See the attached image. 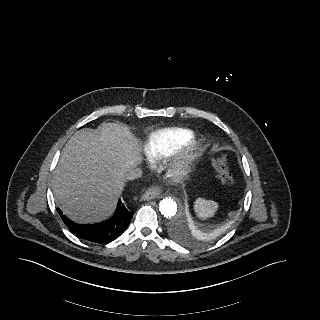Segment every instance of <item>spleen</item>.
<instances>
[{
  "label": "spleen",
  "instance_id": "3e777b00",
  "mask_svg": "<svg viewBox=\"0 0 320 320\" xmlns=\"http://www.w3.org/2000/svg\"><path fill=\"white\" fill-rule=\"evenodd\" d=\"M218 207V203L203 198L197 199L194 205L195 212L201 219L213 217L218 210Z\"/></svg>",
  "mask_w": 320,
  "mask_h": 320
}]
</instances>
